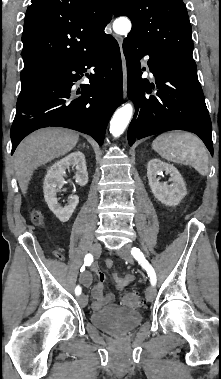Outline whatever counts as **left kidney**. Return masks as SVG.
I'll use <instances>...</instances> for the list:
<instances>
[{
  "mask_svg": "<svg viewBox=\"0 0 221 379\" xmlns=\"http://www.w3.org/2000/svg\"><path fill=\"white\" fill-rule=\"evenodd\" d=\"M163 171L170 174V185L159 181L157 175ZM147 177L153 195L166 206H177L187 194L185 182L180 172L174 166L160 159L154 158L148 162Z\"/></svg>",
  "mask_w": 221,
  "mask_h": 379,
  "instance_id": "1",
  "label": "left kidney"
}]
</instances>
